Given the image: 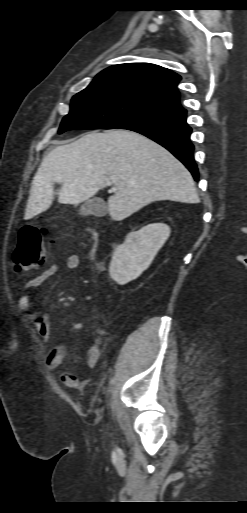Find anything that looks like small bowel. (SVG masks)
Segmentation results:
<instances>
[{
  "label": "small bowel",
  "instance_id": "obj_1",
  "mask_svg": "<svg viewBox=\"0 0 247 513\" xmlns=\"http://www.w3.org/2000/svg\"><path fill=\"white\" fill-rule=\"evenodd\" d=\"M80 266V258L77 254H69L65 259V267L68 270H77ZM58 266L56 263H51L47 268L37 277L30 280L24 287L23 293L18 299L19 310L26 314L30 321L33 323L37 334L44 342H49L51 339V323L48 318L42 314L35 312L31 308V294L30 290L43 285L48 281L57 271ZM67 349L62 344H57L52 347L50 352L45 358V365L51 369H58L65 361ZM101 350L99 347L92 345L87 350L85 356V364L88 368H94L99 362ZM63 384L67 387L83 388L86 385L85 381L77 379V377L70 373L65 372L61 375Z\"/></svg>",
  "mask_w": 247,
  "mask_h": 513
}]
</instances>
